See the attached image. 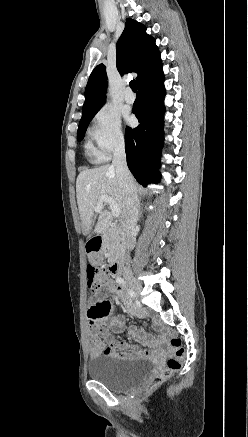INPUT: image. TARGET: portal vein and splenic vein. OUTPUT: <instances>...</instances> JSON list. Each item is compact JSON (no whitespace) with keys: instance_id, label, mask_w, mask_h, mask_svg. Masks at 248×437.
<instances>
[{"instance_id":"obj_1","label":"portal vein and splenic vein","mask_w":248,"mask_h":437,"mask_svg":"<svg viewBox=\"0 0 248 437\" xmlns=\"http://www.w3.org/2000/svg\"><path fill=\"white\" fill-rule=\"evenodd\" d=\"M107 204L109 205L111 212L114 217L120 216V207L114 202L112 198L109 196H101L98 200L97 205L95 206V212H101L103 205Z\"/></svg>"}]
</instances>
